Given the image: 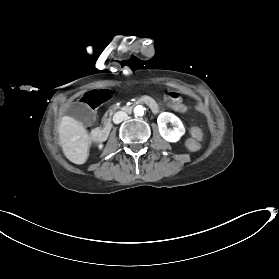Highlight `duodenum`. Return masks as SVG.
<instances>
[{
	"label": "duodenum",
	"mask_w": 279,
	"mask_h": 279,
	"mask_svg": "<svg viewBox=\"0 0 279 279\" xmlns=\"http://www.w3.org/2000/svg\"><path fill=\"white\" fill-rule=\"evenodd\" d=\"M149 103L152 108L154 109V111L156 113H159L161 111V108L159 107V104L149 95H145L143 98H141L139 100V103L141 105H144L146 103ZM122 110L125 112V113H131L133 111V108L129 105H124L122 107ZM113 127V124L111 122H108L105 127L103 128H100L98 126H95L93 128H91L90 132H89V135L91 137V139L95 140V141H98V140H102V141H105L107 139V136L105 135V133H108ZM104 131V132H103Z\"/></svg>",
	"instance_id": "410a0bca"
}]
</instances>
